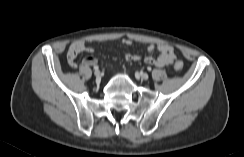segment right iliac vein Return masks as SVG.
Returning a JSON list of instances; mask_svg holds the SVG:
<instances>
[{
    "label": "right iliac vein",
    "instance_id": "63e3f726",
    "mask_svg": "<svg viewBox=\"0 0 244 157\" xmlns=\"http://www.w3.org/2000/svg\"><path fill=\"white\" fill-rule=\"evenodd\" d=\"M95 77L97 78V79H100L101 78V73H100V71H95Z\"/></svg>",
    "mask_w": 244,
    "mask_h": 157
}]
</instances>
